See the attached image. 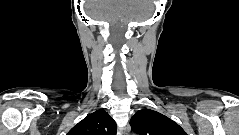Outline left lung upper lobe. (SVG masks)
Returning a JSON list of instances; mask_svg holds the SVG:
<instances>
[{
	"label": "left lung upper lobe",
	"mask_w": 239,
	"mask_h": 135,
	"mask_svg": "<svg viewBox=\"0 0 239 135\" xmlns=\"http://www.w3.org/2000/svg\"><path fill=\"white\" fill-rule=\"evenodd\" d=\"M130 124L139 135H187L176 122L150 109L139 110Z\"/></svg>",
	"instance_id": "obj_1"
}]
</instances>
